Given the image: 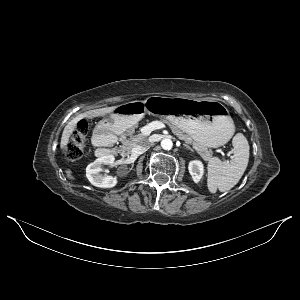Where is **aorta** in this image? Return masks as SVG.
<instances>
[{"label": "aorta", "mask_w": 300, "mask_h": 300, "mask_svg": "<svg viewBox=\"0 0 300 300\" xmlns=\"http://www.w3.org/2000/svg\"><path fill=\"white\" fill-rule=\"evenodd\" d=\"M161 147L164 149V150H171L172 147H173V142L171 139L169 138H165L161 141Z\"/></svg>", "instance_id": "1"}]
</instances>
